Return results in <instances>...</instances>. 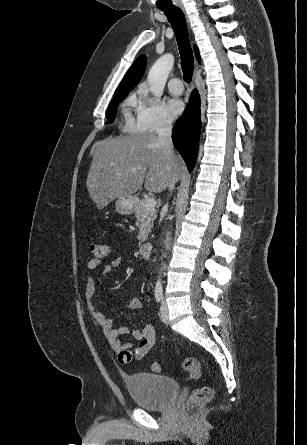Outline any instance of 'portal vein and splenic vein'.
Listing matches in <instances>:
<instances>
[{"mask_svg":"<svg viewBox=\"0 0 307 445\" xmlns=\"http://www.w3.org/2000/svg\"><path fill=\"white\" fill-rule=\"evenodd\" d=\"M131 170H132V172H136V170H139V168H136V166H133V168H131ZM116 174H122V172H116ZM145 206H146V208H148V210H150V208H155V206H156L155 198H147Z\"/></svg>","mask_w":307,"mask_h":445,"instance_id":"18ae733b","label":"portal vein and splenic vein"}]
</instances>
